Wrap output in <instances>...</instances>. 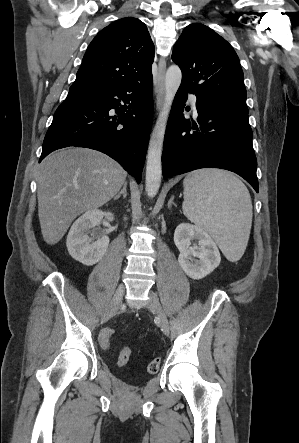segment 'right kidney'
I'll use <instances>...</instances> for the list:
<instances>
[{
    "instance_id": "1",
    "label": "right kidney",
    "mask_w": 299,
    "mask_h": 443,
    "mask_svg": "<svg viewBox=\"0 0 299 443\" xmlns=\"http://www.w3.org/2000/svg\"><path fill=\"white\" fill-rule=\"evenodd\" d=\"M103 218L113 221L114 216L111 212L99 209L88 210L73 223L68 233L66 246L69 254L86 266L101 260L108 248V236L101 235L95 241L88 236L90 230L98 226Z\"/></svg>"
}]
</instances>
